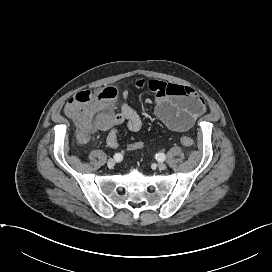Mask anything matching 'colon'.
Here are the masks:
<instances>
[{"label":"colon","mask_w":272,"mask_h":272,"mask_svg":"<svg viewBox=\"0 0 272 272\" xmlns=\"http://www.w3.org/2000/svg\"><path fill=\"white\" fill-rule=\"evenodd\" d=\"M116 96V90L108 87L95 91H81L68 100L66 114L76 123L82 140H86L92 134L102 116L109 114ZM180 142L186 147L194 144L193 139L188 136L181 137Z\"/></svg>","instance_id":"5ec220e1"}]
</instances>
